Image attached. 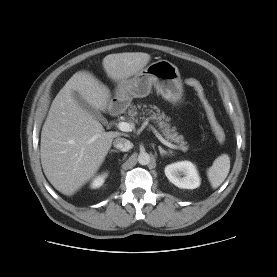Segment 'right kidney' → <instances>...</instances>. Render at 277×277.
Returning a JSON list of instances; mask_svg holds the SVG:
<instances>
[{
  "label": "right kidney",
  "instance_id": "right-kidney-1",
  "mask_svg": "<svg viewBox=\"0 0 277 277\" xmlns=\"http://www.w3.org/2000/svg\"><path fill=\"white\" fill-rule=\"evenodd\" d=\"M106 177H107V173H104V174L99 175L96 178H94L93 181L91 182V188L96 189V188L101 187L103 185Z\"/></svg>",
  "mask_w": 277,
  "mask_h": 277
}]
</instances>
